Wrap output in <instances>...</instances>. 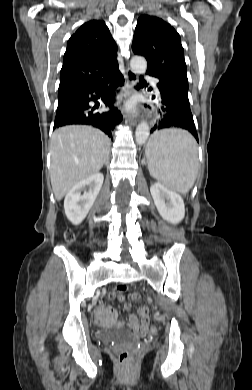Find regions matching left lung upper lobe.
I'll list each match as a JSON object with an SVG mask.
<instances>
[{
	"label": "left lung upper lobe",
	"instance_id": "left-lung-upper-lobe-1",
	"mask_svg": "<svg viewBox=\"0 0 252 390\" xmlns=\"http://www.w3.org/2000/svg\"><path fill=\"white\" fill-rule=\"evenodd\" d=\"M132 50L146 58L147 73L188 89L184 49L179 34L171 25L155 16H140Z\"/></svg>",
	"mask_w": 252,
	"mask_h": 390
}]
</instances>
